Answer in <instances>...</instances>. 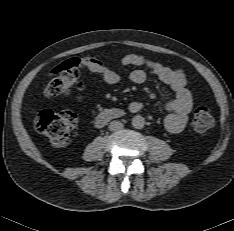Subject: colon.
<instances>
[{
  "mask_svg": "<svg viewBox=\"0 0 234 231\" xmlns=\"http://www.w3.org/2000/svg\"><path fill=\"white\" fill-rule=\"evenodd\" d=\"M85 61L69 60L57 70V75L49 82L46 93L50 96L61 97L68 95L78 83L82 66ZM77 123L76 114L64 111L43 110L35 118V129L49 139L53 147L60 148L68 144L70 133ZM193 128L198 133H205L214 125V119L205 107L195 110Z\"/></svg>",
  "mask_w": 234,
  "mask_h": 231,
  "instance_id": "obj_1",
  "label": "colon"
}]
</instances>
